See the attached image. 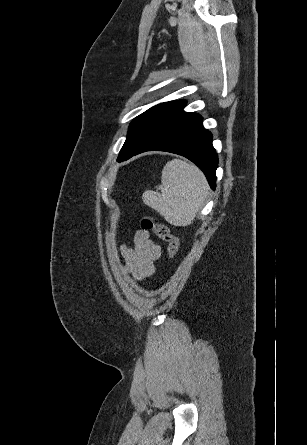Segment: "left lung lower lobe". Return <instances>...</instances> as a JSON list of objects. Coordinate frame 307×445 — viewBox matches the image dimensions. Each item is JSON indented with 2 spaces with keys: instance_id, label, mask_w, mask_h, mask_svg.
<instances>
[{
  "instance_id": "0a47b994",
  "label": "left lung lower lobe",
  "mask_w": 307,
  "mask_h": 445,
  "mask_svg": "<svg viewBox=\"0 0 307 445\" xmlns=\"http://www.w3.org/2000/svg\"><path fill=\"white\" fill-rule=\"evenodd\" d=\"M152 150L171 152L188 158L203 171L210 187L215 189L218 157L212 146V135L203 128L200 115L186 113L177 118L148 138L124 161Z\"/></svg>"
}]
</instances>
